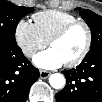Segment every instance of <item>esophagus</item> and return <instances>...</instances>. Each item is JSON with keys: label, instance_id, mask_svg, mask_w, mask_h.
Returning a JSON list of instances; mask_svg holds the SVG:
<instances>
[{"label": "esophagus", "instance_id": "esophagus-1", "mask_svg": "<svg viewBox=\"0 0 102 102\" xmlns=\"http://www.w3.org/2000/svg\"><path fill=\"white\" fill-rule=\"evenodd\" d=\"M51 75V73L49 71H45V70H40V77L42 79H46Z\"/></svg>", "mask_w": 102, "mask_h": 102}]
</instances>
